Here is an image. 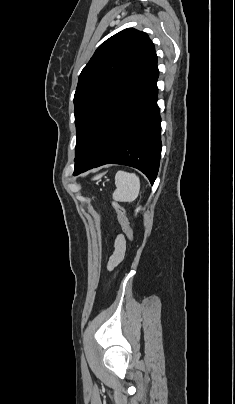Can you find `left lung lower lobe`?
Masks as SVG:
<instances>
[{"instance_id": "left-lung-lower-lobe-1", "label": "left lung lower lobe", "mask_w": 235, "mask_h": 404, "mask_svg": "<svg viewBox=\"0 0 235 404\" xmlns=\"http://www.w3.org/2000/svg\"><path fill=\"white\" fill-rule=\"evenodd\" d=\"M158 76L156 68L109 116L75 162L73 175L104 164H123L139 169L154 183L161 156Z\"/></svg>"}]
</instances>
